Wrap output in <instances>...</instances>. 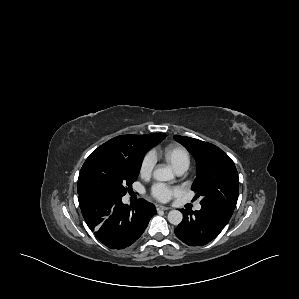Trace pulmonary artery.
Segmentation results:
<instances>
[{"label":"pulmonary artery","instance_id":"1","mask_svg":"<svg viewBox=\"0 0 299 299\" xmlns=\"http://www.w3.org/2000/svg\"><path fill=\"white\" fill-rule=\"evenodd\" d=\"M185 171H186V169H185V168H182V169L177 170L176 172H177L178 175H182ZM194 209H195L196 211H199V210L201 209V204L197 203V204L195 205Z\"/></svg>","mask_w":299,"mask_h":299}]
</instances>
